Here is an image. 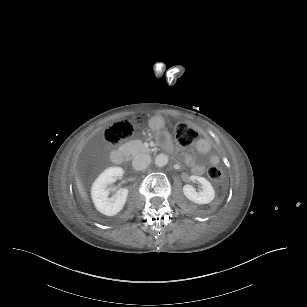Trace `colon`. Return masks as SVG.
<instances>
[{"label":"colon","instance_id":"obj_1","mask_svg":"<svg viewBox=\"0 0 307 307\" xmlns=\"http://www.w3.org/2000/svg\"><path fill=\"white\" fill-rule=\"evenodd\" d=\"M140 119H124L111 125L104 134V142L107 145H117L131 137L136 130L141 128ZM173 132L176 140L182 147H189L196 138V132L185 122L177 121L173 126ZM208 177L213 182H221L224 178V172L219 166H211L208 170Z\"/></svg>","mask_w":307,"mask_h":307}]
</instances>
